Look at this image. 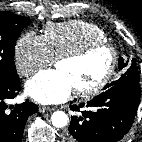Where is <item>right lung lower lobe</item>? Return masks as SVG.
Wrapping results in <instances>:
<instances>
[{
    "label": "right lung lower lobe",
    "instance_id": "98d812e1",
    "mask_svg": "<svg viewBox=\"0 0 142 142\" xmlns=\"http://www.w3.org/2000/svg\"><path fill=\"white\" fill-rule=\"evenodd\" d=\"M20 79L7 84H0V142H21L23 130L30 115L38 112V107L31 101L10 106L6 100L12 99L20 91Z\"/></svg>",
    "mask_w": 142,
    "mask_h": 142
}]
</instances>
